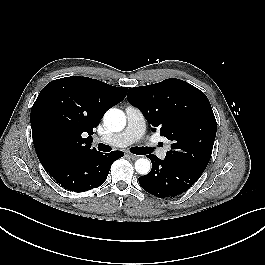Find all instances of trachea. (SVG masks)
Returning <instances> with one entry per match:
<instances>
[{
	"label": "trachea",
	"mask_w": 265,
	"mask_h": 265,
	"mask_svg": "<svg viewBox=\"0 0 265 265\" xmlns=\"http://www.w3.org/2000/svg\"><path fill=\"white\" fill-rule=\"evenodd\" d=\"M98 150L103 151V152H109L111 151V147L103 143H100L98 144ZM130 150L132 153L136 155H145V154H149L152 152V148H148V147H132Z\"/></svg>",
	"instance_id": "1"
}]
</instances>
